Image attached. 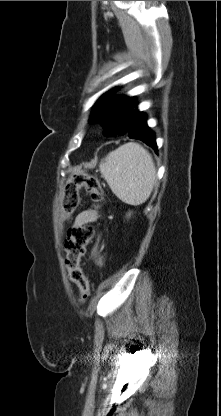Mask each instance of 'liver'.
Returning <instances> with one entry per match:
<instances>
[{"label":"liver","instance_id":"liver-1","mask_svg":"<svg viewBox=\"0 0 221 416\" xmlns=\"http://www.w3.org/2000/svg\"><path fill=\"white\" fill-rule=\"evenodd\" d=\"M74 174L79 173L78 171H73Z\"/></svg>","mask_w":221,"mask_h":416}]
</instances>
